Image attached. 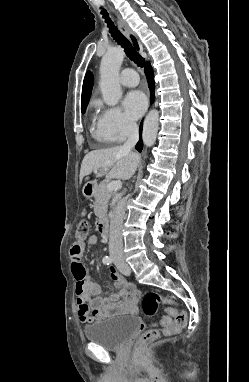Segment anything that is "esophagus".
<instances>
[{"instance_id": "1", "label": "esophagus", "mask_w": 249, "mask_h": 382, "mask_svg": "<svg viewBox=\"0 0 249 382\" xmlns=\"http://www.w3.org/2000/svg\"><path fill=\"white\" fill-rule=\"evenodd\" d=\"M112 11H113V9H112ZM117 23H118L119 29L122 32V34L125 37L130 38V35L132 32H131V29L129 28L128 24L123 19H121L119 16H117Z\"/></svg>"}]
</instances>
